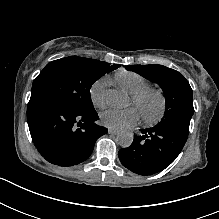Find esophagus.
I'll return each instance as SVG.
<instances>
[{
    "mask_svg": "<svg viewBox=\"0 0 219 219\" xmlns=\"http://www.w3.org/2000/svg\"><path fill=\"white\" fill-rule=\"evenodd\" d=\"M108 132H109V134H112V135H117L119 133V131L116 129H109Z\"/></svg>",
    "mask_w": 219,
    "mask_h": 219,
    "instance_id": "esophagus-1",
    "label": "esophagus"
}]
</instances>
